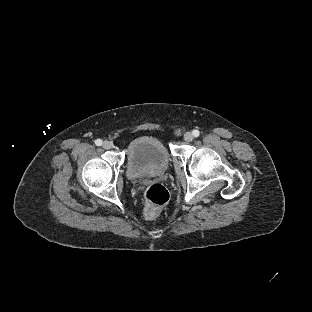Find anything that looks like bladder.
Instances as JSON below:
<instances>
[{
    "label": "bladder",
    "instance_id": "bladder-1",
    "mask_svg": "<svg viewBox=\"0 0 312 312\" xmlns=\"http://www.w3.org/2000/svg\"><path fill=\"white\" fill-rule=\"evenodd\" d=\"M171 155L160 139L141 137L127 148V163L134 177L150 171H162L169 167Z\"/></svg>",
    "mask_w": 312,
    "mask_h": 312
}]
</instances>
